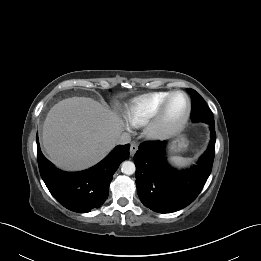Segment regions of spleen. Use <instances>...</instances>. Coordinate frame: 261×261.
Masks as SVG:
<instances>
[{
  "label": "spleen",
  "instance_id": "obj_1",
  "mask_svg": "<svg viewBox=\"0 0 261 261\" xmlns=\"http://www.w3.org/2000/svg\"><path fill=\"white\" fill-rule=\"evenodd\" d=\"M170 161L175 164L176 166H186L187 164H189L190 159L189 158H184V157H180V156H174L170 159Z\"/></svg>",
  "mask_w": 261,
  "mask_h": 261
}]
</instances>
